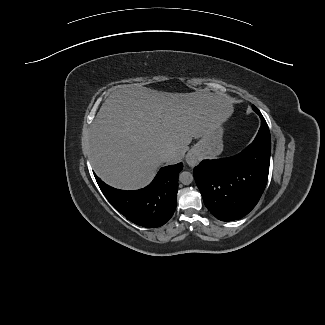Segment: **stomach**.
Listing matches in <instances>:
<instances>
[{
    "label": "stomach",
    "mask_w": 325,
    "mask_h": 325,
    "mask_svg": "<svg viewBox=\"0 0 325 325\" xmlns=\"http://www.w3.org/2000/svg\"><path fill=\"white\" fill-rule=\"evenodd\" d=\"M222 135L221 126L207 129L193 150L201 158L218 156L223 150Z\"/></svg>",
    "instance_id": "1"
}]
</instances>
